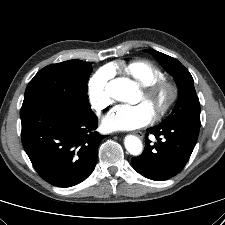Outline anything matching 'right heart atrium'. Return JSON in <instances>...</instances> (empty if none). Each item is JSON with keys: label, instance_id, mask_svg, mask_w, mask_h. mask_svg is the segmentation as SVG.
I'll use <instances>...</instances> for the list:
<instances>
[{"label": "right heart atrium", "instance_id": "obj_1", "mask_svg": "<svg viewBox=\"0 0 225 225\" xmlns=\"http://www.w3.org/2000/svg\"><path fill=\"white\" fill-rule=\"evenodd\" d=\"M113 75L109 67L95 72L88 82V98L94 111L100 113L111 104L108 84Z\"/></svg>", "mask_w": 225, "mask_h": 225}]
</instances>
